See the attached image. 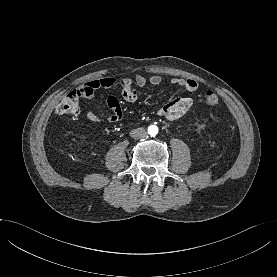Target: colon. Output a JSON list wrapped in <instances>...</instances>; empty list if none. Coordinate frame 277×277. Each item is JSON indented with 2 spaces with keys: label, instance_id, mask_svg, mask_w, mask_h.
I'll use <instances>...</instances> for the list:
<instances>
[{
  "label": "colon",
  "instance_id": "1",
  "mask_svg": "<svg viewBox=\"0 0 277 277\" xmlns=\"http://www.w3.org/2000/svg\"><path fill=\"white\" fill-rule=\"evenodd\" d=\"M82 93L79 90H74L65 96L57 106V113L60 115L75 116L79 113V101ZM206 103L210 106H216L219 103L217 94L208 90L205 94Z\"/></svg>",
  "mask_w": 277,
  "mask_h": 277
}]
</instances>
